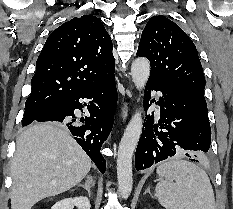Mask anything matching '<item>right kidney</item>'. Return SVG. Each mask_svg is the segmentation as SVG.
I'll list each match as a JSON object with an SVG mask.
<instances>
[{
    "label": "right kidney",
    "mask_w": 233,
    "mask_h": 209,
    "mask_svg": "<svg viewBox=\"0 0 233 209\" xmlns=\"http://www.w3.org/2000/svg\"><path fill=\"white\" fill-rule=\"evenodd\" d=\"M74 206L78 209H90V201L84 196L66 198L55 203L51 209H74Z\"/></svg>",
    "instance_id": "obj_1"
}]
</instances>
